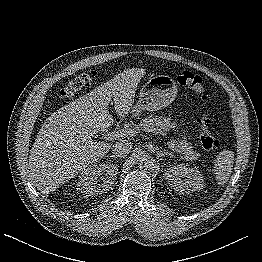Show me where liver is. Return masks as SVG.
Listing matches in <instances>:
<instances>
[{
	"instance_id": "liver-1",
	"label": "liver",
	"mask_w": 262,
	"mask_h": 262,
	"mask_svg": "<svg viewBox=\"0 0 262 262\" xmlns=\"http://www.w3.org/2000/svg\"><path fill=\"white\" fill-rule=\"evenodd\" d=\"M145 74L143 68L126 70L48 117L30 151L27 171L41 193L55 191L109 152L111 143L96 142L93 137L110 126L112 99L117 117L129 114Z\"/></svg>"
}]
</instances>
